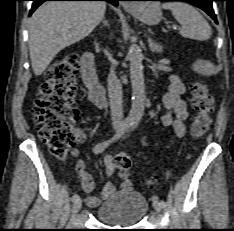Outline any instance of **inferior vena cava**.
Returning a JSON list of instances; mask_svg holds the SVG:
<instances>
[{
	"label": "inferior vena cava",
	"mask_w": 234,
	"mask_h": 231,
	"mask_svg": "<svg viewBox=\"0 0 234 231\" xmlns=\"http://www.w3.org/2000/svg\"><path fill=\"white\" fill-rule=\"evenodd\" d=\"M108 94L112 125L120 126L123 121V95L121 83L114 71V64L108 76Z\"/></svg>",
	"instance_id": "obj_1"
}]
</instances>
